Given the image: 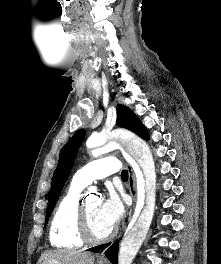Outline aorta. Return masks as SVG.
<instances>
[{
  "mask_svg": "<svg viewBox=\"0 0 221 264\" xmlns=\"http://www.w3.org/2000/svg\"><path fill=\"white\" fill-rule=\"evenodd\" d=\"M117 139L136 160L143 175V178L138 180L137 189L138 195L144 197L145 205L128 225L118 255V264H132L153 219L156 201V172L152 152L143 140L132 135H118ZM90 147L92 156L99 157L108 152L113 147V143L109 142L108 136L98 135L90 139Z\"/></svg>",
  "mask_w": 221,
  "mask_h": 264,
  "instance_id": "762f6f07",
  "label": "aorta"
}]
</instances>
